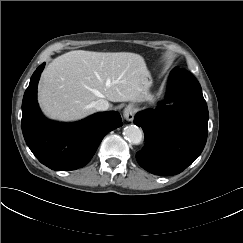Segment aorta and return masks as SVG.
<instances>
[{
    "label": "aorta",
    "mask_w": 243,
    "mask_h": 243,
    "mask_svg": "<svg viewBox=\"0 0 243 243\" xmlns=\"http://www.w3.org/2000/svg\"><path fill=\"white\" fill-rule=\"evenodd\" d=\"M124 138L131 144L138 145L143 138L142 130L136 125H128L123 130Z\"/></svg>",
    "instance_id": "1"
}]
</instances>
